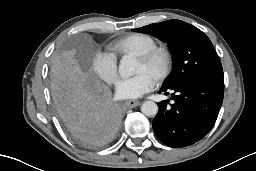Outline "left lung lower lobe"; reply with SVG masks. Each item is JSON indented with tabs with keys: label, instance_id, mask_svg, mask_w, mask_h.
<instances>
[{
	"label": "left lung lower lobe",
	"instance_id": "obj_1",
	"mask_svg": "<svg viewBox=\"0 0 256 171\" xmlns=\"http://www.w3.org/2000/svg\"><path fill=\"white\" fill-rule=\"evenodd\" d=\"M172 91L173 104L158 103L153 130L164 144L180 148L201 140L215 124L224 95V80L190 78L170 87L161 88L165 95Z\"/></svg>",
	"mask_w": 256,
	"mask_h": 171
}]
</instances>
